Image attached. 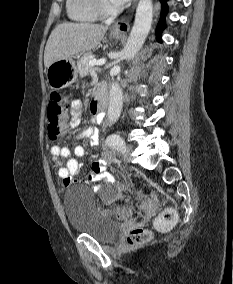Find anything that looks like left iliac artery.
Listing matches in <instances>:
<instances>
[{
    "instance_id": "44dca946",
    "label": "left iliac artery",
    "mask_w": 233,
    "mask_h": 284,
    "mask_svg": "<svg viewBox=\"0 0 233 284\" xmlns=\"http://www.w3.org/2000/svg\"><path fill=\"white\" fill-rule=\"evenodd\" d=\"M106 143L110 146L113 147L116 150L122 151L123 148L125 147V142L119 135H110L106 139Z\"/></svg>"
}]
</instances>
